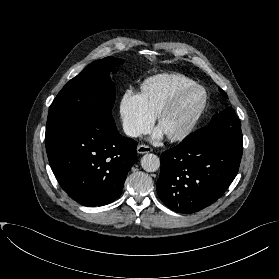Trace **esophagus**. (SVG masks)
Returning a JSON list of instances; mask_svg holds the SVG:
<instances>
[{
	"mask_svg": "<svg viewBox=\"0 0 279 279\" xmlns=\"http://www.w3.org/2000/svg\"><path fill=\"white\" fill-rule=\"evenodd\" d=\"M151 151H152V148L149 147V146H147V145L141 144V145H138V146H137V152H138L139 154H146V153H149V152H151Z\"/></svg>",
	"mask_w": 279,
	"mask_h": 279,
	"instance_id": "34e87169",
	"label": "esophagus"
}]
</instances>
